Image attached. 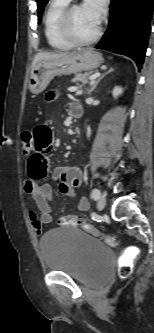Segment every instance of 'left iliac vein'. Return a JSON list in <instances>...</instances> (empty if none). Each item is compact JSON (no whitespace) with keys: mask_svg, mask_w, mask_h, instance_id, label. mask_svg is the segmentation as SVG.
Returning <instances> with one entry per match:
<instances>
[{"mask_svg":"<svg viewBox=\"0 0 154 333\" xmlns=\"http://www.w3.org/2000/svg\"><path fill=\"white\" fill-rule=\"evenodd\" d=\"M106 205V198L104 195H100L97 201V208L98 210H102Z\"/></svg>","mask_w":154,"mask_h":333,"instance_id":"1","label":"left iliac vein"}]
</instances>
